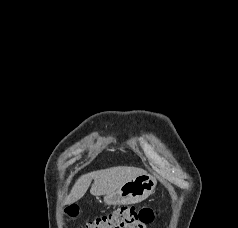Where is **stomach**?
<instances>
[{
	"label": "stomach",
	"instance_id": "1",
	"mask_svg": "<svg viewBox=\"0 0 238 228\" xmlns=\"http://www.w3.org/2000/svg\"><path fill=\"white\" fill-rule=\"evenodd\" d=\"M156 188V179L147 173L124 183L117 191L104 196L107 205L134 204L145 200Z\"/></svg>",
	"mask_w": 238,
	"mask_h": 228
}]
</instances>
